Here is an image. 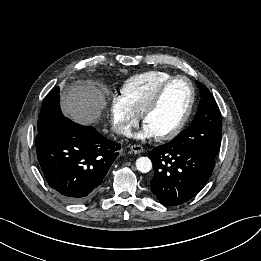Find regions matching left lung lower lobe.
<instances>
[{"mask_svg": "<svg viewBox=\"0 0 261 261\" xmlns=\"http://www.w3.org/2000/svg\"><path fill=\"white\" fill-rule=\"evenodd\" d=\"M154 177L150 189L164 206L181 205L205 186L214 169L215 157L172 140L148 153Z\"/></svg>", "mask_w": 261, "mask_h": 261, "instance_id": "0a47b994", "label": "left lung lower lobe"}]
</instances>
